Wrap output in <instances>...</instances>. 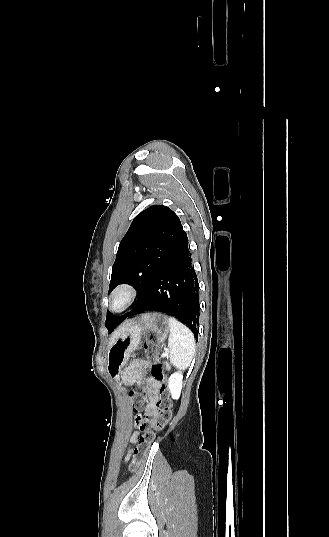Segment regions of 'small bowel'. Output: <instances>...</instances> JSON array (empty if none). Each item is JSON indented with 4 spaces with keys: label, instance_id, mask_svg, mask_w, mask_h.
<instances>
[{
    "label": "small bowel",
    "instance_id": "1",
    "mask_svg": "<svg viewBox=\"0 0 329 537\" xmlns=\"http://www.w3.org/2000/svg\"><path fill=\"white\" fill-rule=\"evenodd\" d=\"M149 369V364L142 359H135L133 360L128 367L124 370L123 373V382L125 384H132L135 382V385H138L139 380L145 381L146 384L149 386V401L145 408V419L153 422L156 419V416L158 414L157 410V393L158 389L161 385L160 381L156 379L155 377H148L146 376V371ZM138 432H134L132 436L129 439V444L131 446H134L137 443L138 440ZM132 449L130 448L127 451V454L125 456V462H127L131 455H132Z\"/></svg>",
    "mask_w": 329,
    "mask_h": 537
}]
</instances>
